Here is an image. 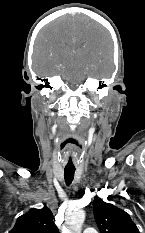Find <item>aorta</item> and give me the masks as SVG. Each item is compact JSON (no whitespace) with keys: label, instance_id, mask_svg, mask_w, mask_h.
I'll list each match as a JSON object with an SVG mask.
<instances>
[{"label":"aorta","instance_id":"1","mask_svg":"<svg viewBox=\"0 0 145 233\" xmlns=\"http://www.w3.org/2000/svg\"><path fill=\"white\" fill-rule=\"evenodd\" d=\"M83 210L75 211L66 221L63 233H81V227L85 220Z\"/></svg>","mask_w":145,"mask_h":233}]
</instances>
